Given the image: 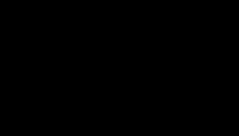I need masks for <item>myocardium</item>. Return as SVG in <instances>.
<instances>
[{
	"label": "myocardium",
	"instance_id": "myocardium-1",
	"mask_svg": "<svg viewBox=\"0 0 239 136\" xmlns=\"http://www.w3.org/2000/svg\"><path fill=\"white\" fill-rule=\"evenodd\" d=\"M160 27H161V25L156 26V27L152 30V32L150 33V35L148 36V38L146 39V44H147L148 46H151V45L154 43L155 37H156L157 32L159 31Z\"/></svg>",
	"mask_w": 239,
	"mask_h": 136
}]
</instances>
